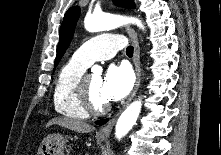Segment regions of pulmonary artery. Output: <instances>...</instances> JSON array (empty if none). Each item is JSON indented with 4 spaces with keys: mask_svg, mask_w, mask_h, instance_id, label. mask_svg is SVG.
<instances>
[{
    "mask_svg": "<svg viewBox=\"0 0 221 155\" xmlns=\"http://www.w3.org/2000/svg\"><path fill=\"white\" fill-rule=\"evenodd\" d=\"M124 47V39L117 34H100L81 45L73 57L88 66L97 60H107Z\"/></svg>",
    "mask_w": 221,
    "mask_h": 155,
    "instance_id": "obj_1",
    "label": "pulmonary artery"
}]
</instances>
